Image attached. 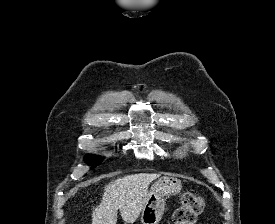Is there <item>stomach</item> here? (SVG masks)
<instances>
[{
	"label": "stomach",
	"mask_w": 275,
	"mask_h": 224,
	"mask_svg": "<svg viewBox=\"0 0 275 224\" xmlns=\"http://www.w3.org/2000/svg\"><path fill=\"white\" fill-rule=\"evenodd\" d=\"M181 189V181L176 177L163 176L156 180L148 191L146 204L141 212V224H158L165 210L166 197L177 195Z\"/></svg>",
	"instance_id": "0dacf381"
}]
</instances>
